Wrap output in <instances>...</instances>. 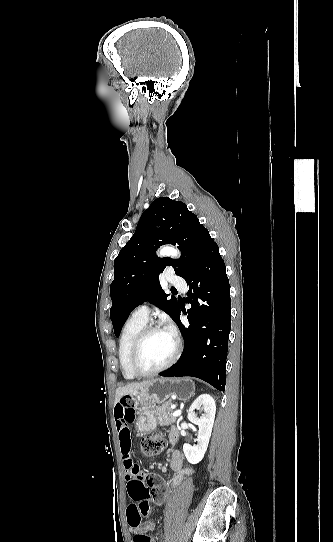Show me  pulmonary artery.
Returning <instances> with one entry per match:
<instances>
[{"label": "pulmonary artery", "instance_id": "pulmonary-artery-1", "mask_svg": "<svg viewBox=\"0 0 333 542\" xmlns=\"http://www.w3.org/2000/svg\"><path fill=\"white\" fill-rule=\"evenodd\" d=\"M167 272L170 274L172 271L169 269ZM168 279L170 281L173 280V286L177 288L179 291H182L184 294L187 292L185 290L186 284L182 282L183 278L181 274H178V273L174 274L173 277L170 276ZM150 314H151V308L148 305L143 304V305H139L132 311L131 318L148 322L150 318Z\"/></svg>", "mask_w": 333, "mask_h": 542}]
</instances>
